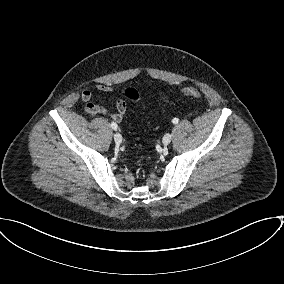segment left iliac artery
<instances>
[{
  "instance_id": "1",
  "label": "left iliac artery",
  "mask_w": 284,
  "mask_h": 284,
  "mask_svg": "<svg viewBox=\"0 0 284 284\" xmlns=\"http://www.w3.org/2000/svg\"><path fill=\"white\" fill-rule=\"evenodd\" d=\"M172 122H173L174 124H177V123L179 122V119H178V118H173V119H172Z\"/></svg>"
}]
</instances>
